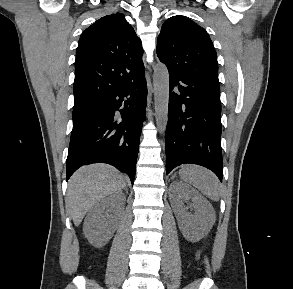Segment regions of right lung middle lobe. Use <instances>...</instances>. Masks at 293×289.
<instances>
[{
  "label": "right lung middle lobe",
  "instance_id": "obj_1",
  "mask_svg": "<svg viewBox=\"0 0 293 289\" xmlns=\"http://www.w3.org/2000/svg\"><path fill=\"white\" fill-rule=\"evenodd\" d=\"M82 107H84V106H74L73 111L78 110V109H80V108H82Z\"/></svg>",
  "mask_w": 293,
  "mask_h": 289
}]
</instances>
